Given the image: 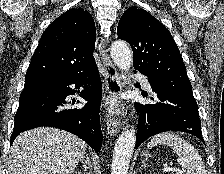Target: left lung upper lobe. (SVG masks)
<instances>
[{
    "label": "left lung upper lobe",
    "mask_w": 224,
    "mask_h": 174,
    "mask_svg": "<svg viewBox=\"0 0 224 174\" xmlns=\"http://www.w3.org/2000/svg\"><path fill=\"white\" fill-rule=\"evenodd\" d=\"M117 34L131 45L135 70L149 78L190 82L170 32L144 9L128 8L119 21Z\"/></svg>",
    "instance_id": "1"
}]
</instances>
